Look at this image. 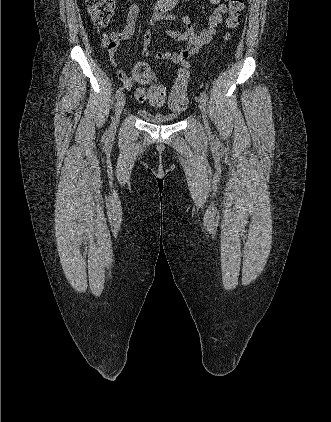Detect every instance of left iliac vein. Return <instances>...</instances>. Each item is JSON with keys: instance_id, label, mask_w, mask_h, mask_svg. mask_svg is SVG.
<instances>
[{"instance_id": "obj_1", "label": "left iliac vein", "mask_w": 331, "mask_h": 422, "mask_svg": "<svg viewBox=\"0 0 331 422\" xmlns=\"http://www.w3.org/2000/svg\"><path fill=\"white\" fill-rule=\"evenodd\" d=\"M198 103H199V109H200V112H201V115H202V118H203V123L205 125L206 130H208L209 127H208V122H207V119H206V113H207V111H206V101L204 100L203 97H200Z\"/></svg>"}]
</instances>
